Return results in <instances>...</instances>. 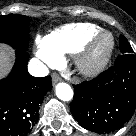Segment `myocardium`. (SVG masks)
<instances>
[{"instance_id": "f54148a6", "label": "myocardium", "mask_w": 136, "mask_h": 136, "mask_svg": "<svg viewBox=\"0 0 136 136\" xmlns=\"http://www.w3.org/2000/svg\"><path fill=\"white\" fill-rule=\"evenodd\" d=\"M109 39V44L103 54L98 58H93V52L98 43L104 39ZM115 50V38L106 31H101L91 37L77 52L74 63L77 71L83 76L92 77L101 73L109 64Z\"/></svg>"}]
</instances>
